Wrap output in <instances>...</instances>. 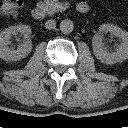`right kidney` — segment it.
<instances>
[{
    "instance_id": "obj_1",
    "label": "right kidney",
    "mask_w": 128,
    "mask_h": 128,
    "mask_svg": "<svg viewBox=\"0 0 128 128\" xmlns=\"http://www.w3.org/2000/svg\"><path fill=\"white\" fill-rule=\"evenodd\" d=\"M22 35L23 43L19 44L17 48L9 47L12 36ZM31 28L27 25H17L6 28L0 33V58L6 61H17L26 57L32 50V43L30 40Z\"/></svg>"
}]
</instances>
